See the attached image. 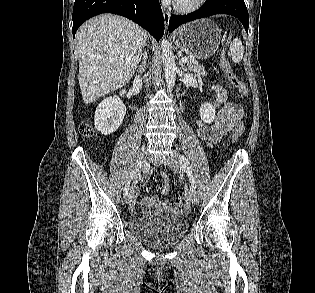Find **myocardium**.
Here are the masks:
<instances>
[{"label":"myocardium","instance_id":"1","mask_svg":"<svg viewBox=\"0 0 315 293\" xmlns=\"http://www.w3.org/2000/svg\"><path fill=\"white\" fill-rule=\"evenodd\" d=\"M205 2L206 0H195L193 3L189 5H183L175 1L174 8L182 13H191L199 10L204 5Z\"/></svg>","mask_w":315,"mask_h":293}]
</instances>
